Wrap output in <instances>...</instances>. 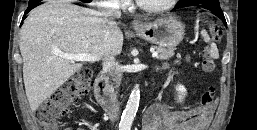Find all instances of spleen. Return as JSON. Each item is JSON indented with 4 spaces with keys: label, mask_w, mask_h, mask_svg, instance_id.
<instances>
[{
    "label": "spleen",
    "mask_w": 257,
    "mask_h": 130,
    "mask_svg": "<svg viewBox=\"0 0 257 130\" xmlns=\"http://www.w3.org/2000/svg\"><path fill=\"white\" fill-rule=\"evenodd\" d=\"M201 35H202V37H203L205 42H209L210 41V37H209V35H208V33H207V31L205 29L201 30ZM210 56L213 59L219 58L218 49H217L216 44H214V43L211 44Z\"/></svg>",
    "instance_id": "obj_1"
}]
</instances>
